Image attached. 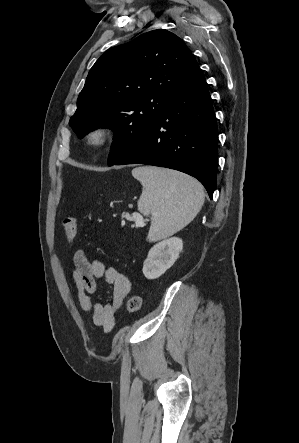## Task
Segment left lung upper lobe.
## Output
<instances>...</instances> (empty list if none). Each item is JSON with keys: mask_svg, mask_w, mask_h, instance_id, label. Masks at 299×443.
<instances>
[{"mask_svg": "<svg viewBox=\"0 0 299 443\" xmlns=\"http://www.w3.org/2000/svg\"><path fill=\"white\" fill-rule=\"evenodd\" d=\"M198 68L185 43L163 29L110 48L91 68L69 125L80 139L97 128H111L115 133L108 165H113Z\"/></svg>", "mask_w": 299, "mask_h": 443, "instance_id": "5c2ea615", "label": "left lung upper lobe"}]
</instances>
